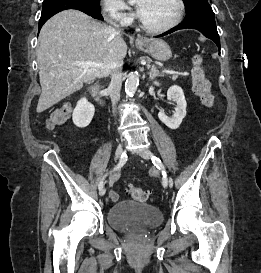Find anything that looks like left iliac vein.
I'll use <instances>...</instances> for the list:
<instances>
[{"label":"left iliac vein","instance_id":"4c4485c4","mask_svg":"<svg viewBox=\"0 0 261 273\" xmlns=\"http://www.w3.org/2000/svg\"><path fill=\"white\" fill-rule=\"evenodd\" d=\"M138 154L142 157V158H144V159H150L151 157H152V153H151V151L150 150H148V149H142V150H139L138 151ZM171 178H169V180L167 181V184L169 185V186H171Z\"/></svg>","mask_w":261,"mask_h":273}]
</instances>
